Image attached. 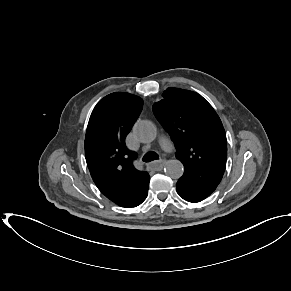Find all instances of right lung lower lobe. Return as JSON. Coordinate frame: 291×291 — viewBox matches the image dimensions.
Wrapping results in <instances>:
<instances>
[{"label":"right lung lower lobe","mask_w":291,"mask_h":291,"mask_svg":"<svg viewBox=\"0 0 291 291\" xmlns=\"http://www.w3.org/2000/svg\"><path fill=\"white\" fill-rule=\"evenodd\" d=\"M147 197V194L143 197V199L141 201H138L136 203H133L132 205H129V206H126V205H122V207H135V206H138L140 205Z\"/></svg>","instance_id":"obj_1"}]
</instances>
